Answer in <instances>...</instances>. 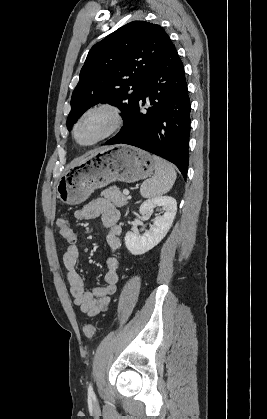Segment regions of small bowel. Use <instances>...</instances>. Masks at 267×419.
I'll use <instances>...</instances> for the list:
<instances>
[{
    "label": "small bowel",
    "instance_id": "1",
    "mask_svg": "<svg viewBox=\"0 0 267 419\" xmlns=\"http://www.w3.org/2000/svg\"><path fill=\"white\" fill-rule=\"evenodd\" d=\"M78 220L101 217L102 225L108 229L106 236L107 245L112 254L120 246L121 228L118 225L119 211L112 202L105 198H95L74 212ZM79 249L74 242H70L63 255V263L69 283V290L73 302L80 310L90 317L105 312L110 305V297L115 294L118 285V267L120 258L112 255L107 261L104 275V285L86 290L83 277L77 270Z\"/></svg>",
    "mask_w": 267,
    "mask_h": 419
}]
</instances>
